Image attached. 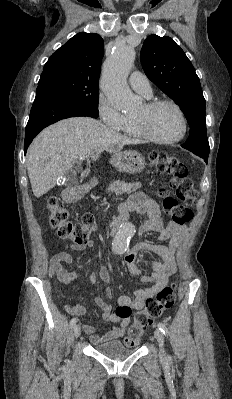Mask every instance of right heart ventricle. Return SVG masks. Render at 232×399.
Segmentation results:
<instances>
[{
	"mask_svg": "<svg viewBox=\"0 0 232 399\" xmlns=\"http://www.w3.org/2000/svg\"><path fill=\"white\" fill-rule=\"evenodd\" d=\"M122 136L133 139L135 141L145 140L138 132L133 119L126 118L125 123L118 129Z\"/></svg>",
	"mask_w": 232,
	"mask_h": 399,
	"instance_id": "obj_1",
	"label": "right heart ventricle"
}]
</instances>
